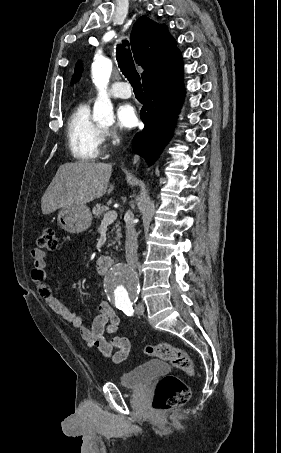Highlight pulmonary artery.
<instances>
[{"label": "pulmonary artery", "mask_w": 281, "mask_h": 453, "mask_svg": "<svg viewBox=\"0 0 281 453\" xmlns=\"http://www.w3.org/2000/svg\"><path fill=\"white\" fill-rule=\"evenodd\" d=\"M109 95L118 98H128L131 96V91L127 83L115 82L109 90Z\"/></svg>", "instance_id": "e3ab8cb5"}]
</instances>
